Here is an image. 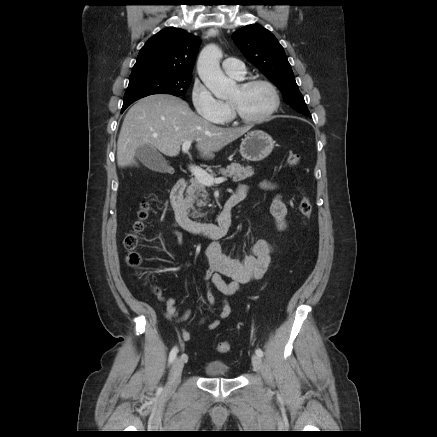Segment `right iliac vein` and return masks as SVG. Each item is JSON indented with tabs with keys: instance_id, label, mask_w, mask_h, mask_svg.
I'll return each mask as SVG.
<instances>
[{
	"instance_id": "63e3f726",
	"label": "right iliac vein",
	"mask_w": 437,
	"mask_h": 437,
	"mask_svg": "<svg viewBox=\"0 0 437 437\" xmlns=\"http://www.w3.org/2000/svg\"><path fill=\"white\" fill-rule=\"evenodd\" d=\"M184 363H185V358L183 356L176 358V360L174 361L171 369L169 381L166 386L167 393H171L176 389L180 381Z\"/></svg>"
}]
</instances>
